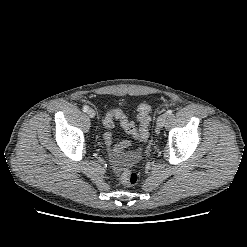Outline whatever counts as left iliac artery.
<instances>
[{
  "instance_id": "1",
  "label": "left iliac artery",
  "mask_w": 247,
  "mask_h": 247,
  "mask_svg": "<svg viewBox=\"0 0 247 247\" xmlns=\"http://www.w3.org/2000/svg\"><path fill=\"white\" fill-rule=\"evenodd\" d=\"M172 110H168L167 112H166V115H171L172 114Z\"/></svg>"
}]
</instances>
